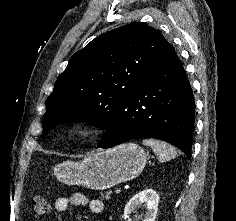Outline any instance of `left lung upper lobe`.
Returning <instances> with one entry per match:
<instances>
[{
    "instance_id": "left-lung-upper-lobe-1",
    "label": "left lung upper lobe",
    "mask_w": 236,
    "mask_h": 221,
    "mask_svg": "<svg viewBox=\"0 0 236 221\" xmlns=\"http://www.w3.org/2000/svg\"><path fill=\"white\" fill-rule=\"evenodd\" d=\"M166 42L154 28L135 22L77 51L47 100L43 135L58 124L75 121L108 129Z\"/></svg>"
}]
</instances>
